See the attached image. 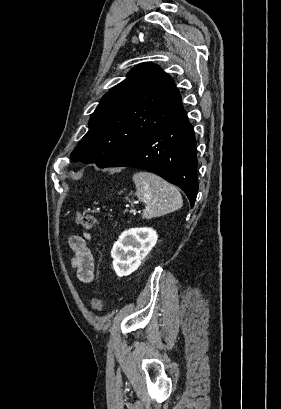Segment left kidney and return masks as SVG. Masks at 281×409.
I'll list each match as a JSON object with an SVG mask.
<instances>
[{"label": "left kidney", "instance_id": "obj_1", "mask_svg": "<svg viewBox=\"0 0 281 409\" xmlns=\"http://www.w3.org/2000/svg\"><path fill=\"white\" fill-rule=\"evenodd\" d=\"M158 235L153 229H128L121 233L111 251L113 269L118 277H127L140 267L143 259L157 243Z\"/></svg>", "mask_w": 281, "mask_h": 409}]
</instances>
